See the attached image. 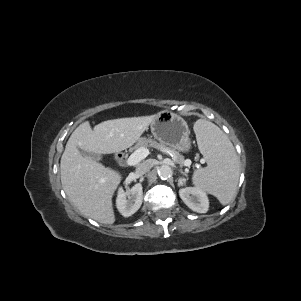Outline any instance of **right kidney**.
I'll list each match as a JSON object with an SVG mask.
<instances>
[{"label":"right kidney","instance_id":"obj_1","mask_svg":"<svg viewBox=\"0 0 301 301\" xmlns=\"http://www.w3.org/2000/svg\"><path fill=\"white\" fill-rule=\"evenodd\" d=\"M143 200L141 184H135L131 189L124 192L122 188L118 191L116 206L124 217H129L138 211Z\"/></svg>","mask_w":301,"mask_h":301}]
</instances>
